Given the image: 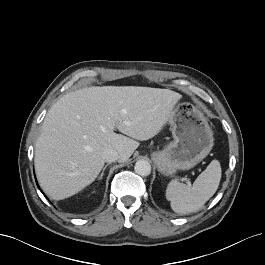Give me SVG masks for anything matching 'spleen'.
I'll list each match as a JSON object with an SVG mask.
<instances>
[{"instance_id":"obj_1","label":"spleen","mask_w":265,"mask_h":265,"mask_svg":"<svg viewBox=\"0 0 265 265\" xmlns=\"http://www.w3.org/2000/svg\"><path fill=\"white\" fill-rule=\"evenodd\" d=\"M221 179V166L218 160H212L197 177L192 186L171 180L166 189V199L177 213H191L200 210L215 194Z\"/></svg>"}]
</instances>
